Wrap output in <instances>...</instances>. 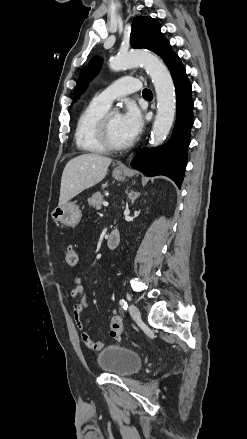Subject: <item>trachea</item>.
<instances>
[{
  "mask_svg": "<svg viewBox=\"0 0 247 439\" xmlns=\"http://www.w3.org/2000/svg\"><path fill=\"white\" fill-rule=\"evenodd\" d=\"M143 96L144 97H152V92L149 89H144Z\"/></svg>",
  "mask_w": 247,
  "mask_h": 439,
  "instance_id": "obj_1",
  "label": "trachea"
}]
</instances>
